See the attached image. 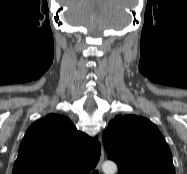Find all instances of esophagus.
Here are the masks:
<instances>
[{
	"mask_svg": "<svg viewBox=\"0 0 187 174\" xmlns=\"http://www.w3.org/2000/svg\"><path fill=\"white\" fill-rule=\"evenodd\" d=\"M103 161H104V147H103V144L101 142V154H100V158H99V161H98V164H97V168L99 170L101 169Z\"/></svg>",
	"mask_w": 187,
	"mask_h": 174,
	"instance_id": "obj_1",
	"label": "esophagus"
}]
</instances>
